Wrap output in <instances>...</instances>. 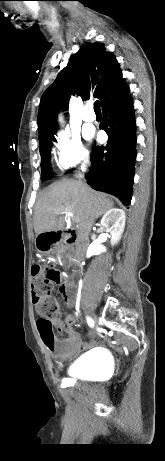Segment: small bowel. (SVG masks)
<instances>
[{"instance_id":"obj_1","label":"small bowel","mask_w":165,"mask_h":461,"mask_svg":"<svg viewBox=\"0 0 165 461\" xmlns=\"http://www.w3.org/2000/svg\"><path fill=\"white\" fill-rule=\"evenodd\" d=\"M68 267L67 265L65 266ZM66 279L61 277L59 283H57V290L59 292V297L65 299L67 305L70 304L72 297L68 295L67 287L65 285ZM75 318L71 314H66L64 320L58 318L52 319V325L57 328L59 331H64L66 337L62 340L56 341V345L53 349L48 350L56 359H63L67 356L73 354L74 352L85 350L94 345L93 341L82 342L79 333L73 328Z\"/></svg>"}]
</instances>
